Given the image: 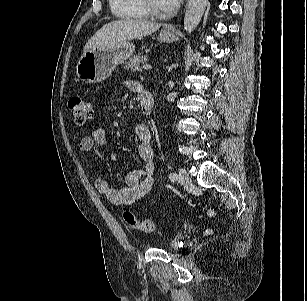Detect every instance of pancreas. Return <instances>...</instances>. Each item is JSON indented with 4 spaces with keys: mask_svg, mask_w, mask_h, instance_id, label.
Masks as SVG:
<instances>
[{
    "mask_svg": "<svg viewBox=\"0 0 307 301\" xmlns=\"http://www.w3.org/2000/svg\"><path fill=\"white\" fill-rule=\"evenodd\" d=\"M148 61L146 55L139 54L138 56H134L130 59V61L125 65V69L131 70V71H141L140 64Z\"/></svg>",
    "mask_w": 307,
    "mask_h": 301,
    "instance_id": "cf45deb5",
    "label": "pancreas"
}]
</instances>
